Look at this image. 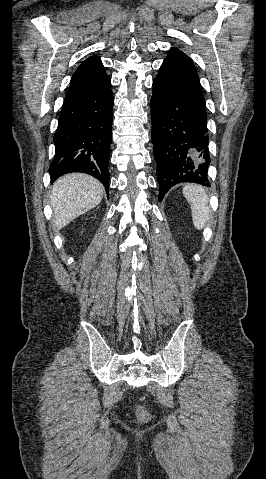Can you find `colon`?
Wrapping results in <instances>:
<instances>
[{"label": "colon", "mask_w": 266, "mask_h": 479, "mask_svg": "<svg viewBox=\"0 0 266 479\" xmlns=\"http://www.w3.org/2000/svg\"><path fill=\"white\" fill-rule=\"evenodd\" d=\"M136 417H137V420L139 422L145 423V422L149 421L150 414L144 407L137 406L136 407Z\"/></svg>", "instance_id": "5ec220e1"}]
</instances>
